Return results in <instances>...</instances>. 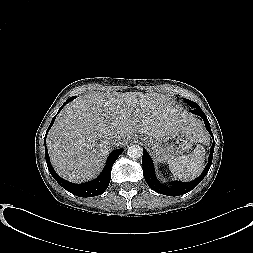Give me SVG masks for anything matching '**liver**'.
<instances>
[{
  "label": "liver",
  "mask_w": 253,
  "mask_h": 253,
  "mask_svg": "<svg viewBox=\"0 0 253 253\" xmlns=\"http://www.w3.org/2000/svg\"><path fill=\"white\" fill-rule=\"evenodd\" d=\"M178 132L196 142L206 139L203 123L164 94L95 92L62 109L48 133L47 146L55 171L81 183L99 174L114 148V134L122 137L123 146L136 133Z\"/></svg>",
  "instance_id": "1"
}]
</instances>
